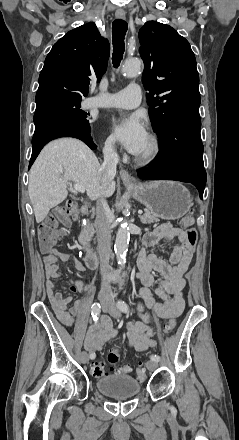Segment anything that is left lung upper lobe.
Instances as JSON below:
<instances>
[{"label": "left lung upper lobe", "instance_id": "1", "mask_svg": "<svg viewBox=\"0 0 239 440\" xmlns=\"http://www.w3.org/2000/svg\"><path fill=\"white\" fill-rule=\"evenodd\" d=\"M139 41L142 82L149 91L147 102L156 133L175 118L199 116V75L189 42L171 26L156 21L145 23Z\"/></svg>", "mask_w": 239, "mask_h": 440}]
</instances>
